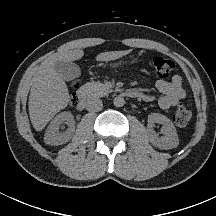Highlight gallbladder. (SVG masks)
<instances>
[{"label": "gallbladder", "instance_id": "obj_1", "mask_svg": "<svg viewBox=\"0 0 216 216\" xmlns=\"http://www.w3.org/2000/svg\"><path fill=\"white\" fill-rule=\"evenodd\" d=\"M55 70L66 81H71L80 77V67L71 61H57Z\"/></svg>", "mask_w": 216, "mask_h": 216}]
</instances>
